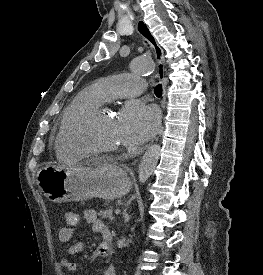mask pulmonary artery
Segmentation results:
<instances>
[{"label":"pulmonary artery","instance_id":"1","mask_svg":"<svg viewBox=\"0 0 263 275\" xmlns=\"http://www.w3.org/2000/svg\"><path fill=\"white\" fill-rule=\"evenodd\" d=\"M98 87L106 101L135 97L145 91L144 81L134 74H118L103 78L99 81Z\"/></svg>","mask_w":263,"mask_h":275}]
</instances>
